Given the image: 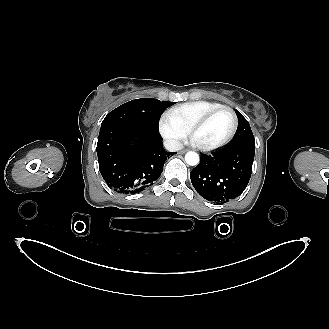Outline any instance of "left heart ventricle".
<instances>
[{"mask_svg":"<svg viewBox=\"0 0 329 329\" xmlns=\"http://www.w3.org/2000/svg\"><path fill=\"white\" fill-rule=\"evenodd\" d=\"M233 126L230 112L222 111L212 117L194 135V141L200 144H214L224 140Z\"/></svg>","mask_w":329,"mask_h":329,"instance_id":"1","label":"left heart ventricle"}]
</instances>
